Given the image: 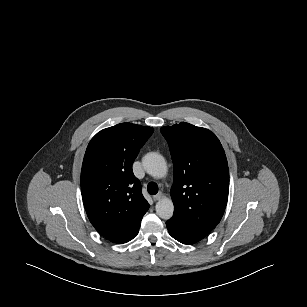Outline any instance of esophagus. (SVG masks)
<instances>
[{
	"instance_id": "obj_1",
	"label": "esophagus",
	"mask_w": 307,
	"mask_h": 307,
	"mask_svg": "<svg viewBox=\"0 0 307 307\" xmlns=\"http://www.w3.org/2000/svg\"><path fill=\"white\" fill-rule=\"evenodd\" d=\"M162 197H163V193H162V192H159L158 194H156V195L153 196V200H154V201H157V200L162 199Z\"/></svg>"
}]
</instances>
